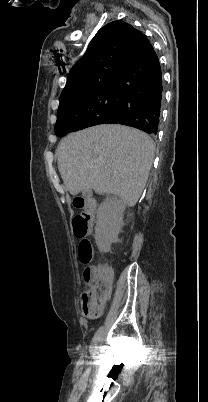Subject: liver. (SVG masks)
<instances>
[{"label": "liver", "mask_w": 208, "mask_h": 402, "mask_svg": "<svg viewBox=\"0 0 208 402\" xmlns=\"http://www.w3.org/2000/svg\"><path fill=\"white\" fill-rule=\"evenodd\" d=\"M56 154L60 176L72 196L82 190L115 194L131 208L146 186L154 146L140 130L103 124L68 134Z\"/></svg>", "instance_id": "6515ba94"}]
</instances>
